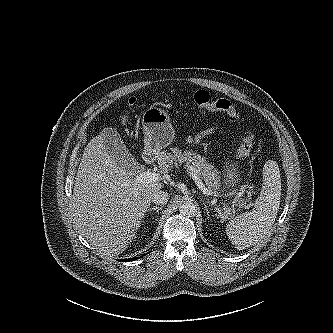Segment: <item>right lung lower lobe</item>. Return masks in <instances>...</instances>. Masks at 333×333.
Here are the masks:
<instances>
[{
  "instance_id": "obj_1",
  "label": "right lung lower lobe",
  "mask_w": 333,
  "mask_h": 333,
  "mask_svg": "<svg viewBox=\"0 0 333 333\" xmlns=\"http://www.w3.org/2000/svg\"><path fill=\"white\" fill-rule=\"evenodd\" d=\"M139 258H141V257L130 258V259H127V260L125 259V260H123V262L124 261H133V260H136V259H139Z\"/></svg>"
}]
</instances>
